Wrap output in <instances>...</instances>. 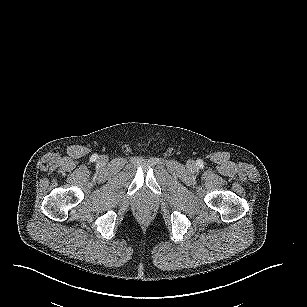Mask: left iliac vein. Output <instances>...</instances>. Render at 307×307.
<instances>
[{
    "label": "left iliac vein",
    "mask_w": 307,
    "mask_h": 307,
    "mask_svg": "<svg viewBox=\"0 0 307 307\" xmlns=\"http://www.w3.org/2000/svg\"><path fill=\"white\" fill-rule=\"evenodd\" d=\"M188 167L191 168V169H194V164L190 163V164H188Z\"/></svg>",
    "instance_id": "left-iliac-vein-1"
}]
</instances>
